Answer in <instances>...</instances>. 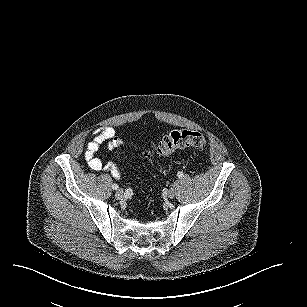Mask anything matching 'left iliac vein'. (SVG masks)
<instances>
[{"instance_id": "obj_1", "label": "left iliac vein", "mask_w": 307, "mask_h": 307, "mask_svg": "<svg viewBox=\"0 0 307 307\" xmlns=\"http://www.w3.org/2000/svg\"><path fill=\"white\" fill-rule=\"evenodd\" d=\"M176 195V191L174 188H170L168 191H167V197L172 199L174 198Z\"/></svg>"}]
</instances>
